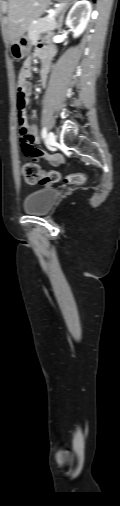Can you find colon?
Listing matches in <instances>:
<instances>
[{
    "instance_id": "colon-1",
    "label": "colon",
    "mask_w": 120,
    "mask_h": 506,
    "mask_svg": "<svg viewBox=\"0 0 120 506\" xmlns=\"http://www.w3.org/2000/svg\"><path fill=\"white\" fill-rule=\"evenodd\" d=\"M18 94H17V107H18V119L19 125L26 114V105L28 102V92L24 86L18 83ZM21 126V125H20ZM21 134V133H20ZM21 144L25 153L32 156L39 154V150L36 146L35 139L30 134H21ZM23 177L28 184H54L60 181L61 175L57 171H44L36 163H27L22 169ZM88 175L85 172L72 173L67 176L66 181L69 184H83L87 181Z\"/></svg>"
}]
</instances>
